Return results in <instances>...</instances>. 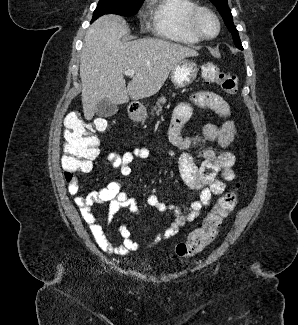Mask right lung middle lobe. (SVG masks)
Wrapping results in <instances>:
<instances>
[{"instance_id": "right-lung-middle-lobe-1", "label": "right lung middle lobe", "mask_w": 298, "mask_h": 325, "mask_svg": "<svg viewBox=\"0 0 298 325\" xmlns=\"http://www.w3.org/2000/svg\"><path fill=\"white\" fill-rule=\"evenodd\" d=\"M141 4L142 1L138 0H100L93 13L92 22L104 14L135 15Z\"/></svg>"}]
</instances>
